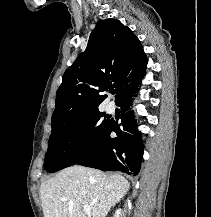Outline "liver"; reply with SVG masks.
<instances>
[{
	"mask_svg": "<svg viewBox=\"0 0 211 217\" xmlns=\"http://www.w3.org/2000/svg\"><path fill=\"white\" fill-rule=\"evenodd\" d=\"M129 182L119 174L71 166L40 186L44 217H105L128 192ZM90 206L89 213L83 207Z\"/></svg>",
	"mask_w": 211,
	"mask_h": 217,
	"instance_id": "obj_1",
	"label": "liver"
}]
</instances>
